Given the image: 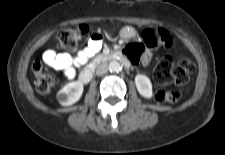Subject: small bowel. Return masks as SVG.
<instances>
[{"instance_id":"1","label":"small bowel","mask_w":225,"mask_h":155,"mask_svg":"<svg viewBox=\"0 0 225 155\" xmlns=\"http://www.w3.org/2000/svg\"><path fill=\"white\" fill-rule=\"evenodd\" d=\"M134 36V30L128 29L124 31V37L133 38ZM102 44V37L96 34L90 38L87 46L82 49L76 57H73L67 53H57L53 49H47L44 51L42 58L47 65L63 71L67 77L71 78L75 74V68L83 65L90 57L100 51ZM150 59L151 52L145 51L139 61L143 65H147L150 62Z\"/></svg>"}]
</instances>
